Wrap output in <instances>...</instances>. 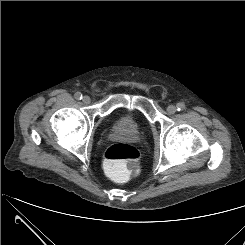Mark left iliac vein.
I'll list each match as a JSON object with an SVG mask.
<instances>
[{
	"label": "left iliac vein",
	"mask_w": 245,
	"mask_h": 245,
	"mask_svg": "<svg viewBox=\"0 0 245 245\" xmlns=\"http://www.w3.org/2000/svg\"><path fill=\"white\" fill-rule=\"evenodd\" d=\"M167 112H168L169 114H174V113L176 112V107H175L174 105H169V106L167 107Z\"/></svg>",
	"instance_id": "obj_1"
}]
</instances>
